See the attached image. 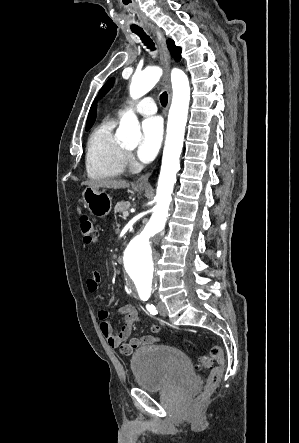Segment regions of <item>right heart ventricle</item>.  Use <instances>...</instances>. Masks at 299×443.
Returning <instances> with one entry per match:
<instances>
[{
	"label": "right heart ventricle",
	"instance_id": "e07e8e85",
	"mask_svg": "<svg viewBox=\"0 0 299 443\" xmlns=\"http://www.w3.org/2000/svg\"><path fill=\"white\" fill-rule=\"evenodd\" d=\"M114 122L106 120L89 136L86 151V171L93 179H111L121 175L126 165V153L113 133Z\"/></svg>",
	"mask_w": 299,
	"mask_h": 443
}]
</instances>
